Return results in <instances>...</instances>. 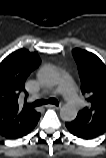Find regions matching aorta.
<instances>
[{
    "label": "aorta",
    "instance_id": "1",
    "mask_svg": "<svg viewBox=\"0 0 106 158\" xmlns=\"http://www.w3.org/2000/svg\"><path fill=\"white\" fill-rule=\"evenodd\" d=\"M42 81L48 85H56L59 82V74L52 68L46 69L42 74ZM77 116V108L73 104H65L60 109V117L64 121H73Z\"/></svg>",
    "mask_w": 106,
    "mask_h": 158
}]
</instances>
